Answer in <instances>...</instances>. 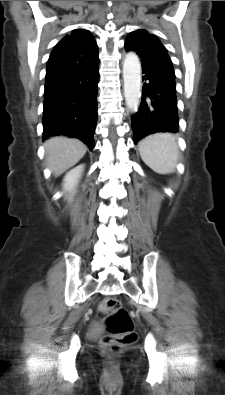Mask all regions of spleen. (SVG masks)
Listing matches in <instances>:
<instances>
[{
  "mask_svg": "<svg viewBox=\"0 0 225 395\" xmlns=\"http://www.w3.org/2000/svg\"><path fill=\"white\" fill-rule=\"evenodd\" d=\"M144 163L159 174L175 171L179 157L176 138L170 133H157L144 138L139 144Z\"/></svg>",
  "mask_w": 225,
  "mask_h": 395,
  "instance_id": "obj_1",
  "label": "spleen"
}]
</instances>
